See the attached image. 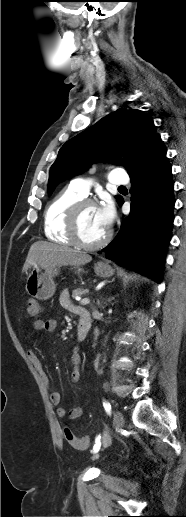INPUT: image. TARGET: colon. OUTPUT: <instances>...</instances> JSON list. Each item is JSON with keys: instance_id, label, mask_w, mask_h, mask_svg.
<instances>
[{"instance_id": "1", "label": "colon", "mask_w": 186, "mask_h": 517, "mask_svg": "<svg viewBox=\"0 0 186 517\" xmlns=\"http://www.w3.org/2000/svg\"><path fill=\"white\" fill-rule=\"evenodd\" d=\"M41 314V307L38 301L35 299H29L26 305V315L29 318H37ZM64 437L66 441L70 444V446L76 450H85L88 448L90 444V439L87 436L77 437L74 433L69 429H64Z\"/></svg>"}]
</instances>
